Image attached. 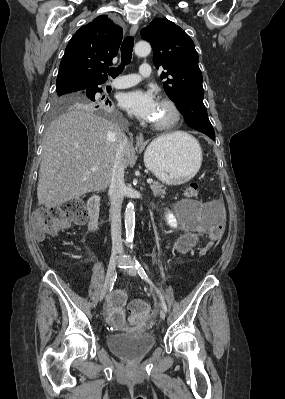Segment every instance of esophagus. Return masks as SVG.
I'll return each instance as SVG.
<instances>
[{"mask_svg": "<svg viewBox=\"0 0 285 399\" xmlns=\"http://www.w3.org/2000/svg\"><path fill=\"white\" fill-rule=\"evenodd\" d=\"M137 31H138V25L133 24L130 28V34L134 36L137 33ZM136 145L141 148L145 147V141L143 135L140 134L137 136Z\"/></svg>", "mask_w": 285, "mask_h": 399, "instance_id": "obj_1", "label": "esophagus"}]
</instances>
